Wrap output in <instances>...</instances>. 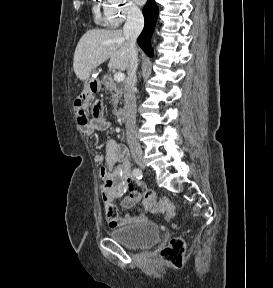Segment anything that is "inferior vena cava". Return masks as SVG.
<instances>
[{"instance_id": "1", "label": "inferior vena cava", "mask_w": 273, "mask_h": 288, "mask_svg": "<svg viewBox=\"0 0 273 288\" xmlns=\"http://www.w3.org/2000/svg\"><path fill=\"white\" fill-rule=\"evenodd\" d=\"M143 27L144 18L141 10L136 6H130L128 8L127 20L123 27V33L130 42V62L127 70L128 76L124 84V110L126 137L133 155L141 153V147L136 132V97L134 88L137 81L136 70L138 67L136 40Z\"/></svg>"}]
</instances>
